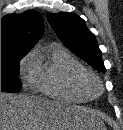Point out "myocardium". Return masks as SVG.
I'll list each match as a JSON object with an SVG mask.
<instances>
[{
    "label": "myocardium",
    "mask_w": 123,
    "mask_h": 130,
    "mask_svg": "<svg viewBox=\"0 0 123 130\" xmlns=\"http://www.w3.org/2000/svg\"><path fill=\"white\" fill-rule=\"evenodd\" d=\"M79 84L88 98L96 97L102 90V85L98 77L89 71L80 77Z\"/></svg>",
    "instance_id": "1"
}]
</instances>
